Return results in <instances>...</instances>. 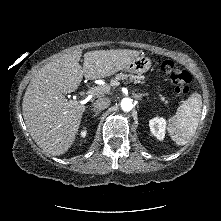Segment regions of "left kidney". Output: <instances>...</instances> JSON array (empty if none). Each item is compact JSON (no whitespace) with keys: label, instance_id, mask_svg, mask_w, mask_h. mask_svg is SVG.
<instances>
[{"label":"left kidney","instance_id":"obj_1","mask_svg":"<svg viewBox=\"0 0 221 221\" xmlns=\"http://www.w3.org/2000/svg\"><path fill=\"white\" fill-rule=\"evenodd\" d=\"M151 133L159 140L165 137L166 120L164 118L155 117L149 121Z\"/></svg>","mask_w":221,"mask_h":221}]
</instances>
